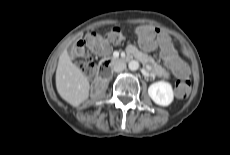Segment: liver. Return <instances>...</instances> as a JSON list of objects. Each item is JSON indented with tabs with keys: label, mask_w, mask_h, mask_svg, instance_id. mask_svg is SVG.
I'll list each match as a JSON object with an SVG mask.
<instances>
[{
	"label": "liver",
	"mask_w": 230,
	"mask_h": 155,
	"mask_svg": "<svg viewBox=\"0 0 230 155\" xmlns=\"http://www.w3.org/2000/svg\"><path fill=\"white\" fill-rule=\"evenodd\" d=\"M56 88L59 95L70 105L77 107L89 97L88 78L70 59L64 49L56 70Z\"/></svg>",
	"instance_id": "6515ba94"
}]
</instances>
